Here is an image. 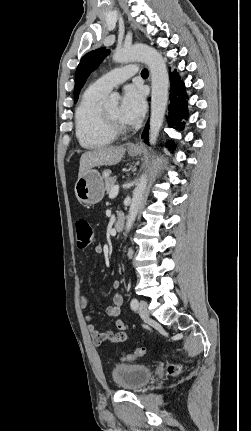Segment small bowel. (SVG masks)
Returning a JSON list of instances; mask_svg holds the SVG:
<instances>
[{
	"instance_id": "obj_1",
	"label": "small bowel",
	"mask_w": 251,
	"mask_h": 431,
	"mask_svg": "<svg viewBox=\"0 0 251 431\" xmlns=\"http://www.w3.org/2000/svg\"><path fill=\"white\" fill-rule=\"evenodd\" d=\"M95 252L100 254L102 253V246L97 245L95 247ZM84 281V275L80 276V283ZM120 287V282L118 280L113 281L112 288L114 290ZM88 299L84 294H80L79 297V305L82 309H86L88 307ZM123 304V297L120 294H114L110 299V304L106 306L105 312L111 318H117L121 313V307ZM87 323V329L91 336V339L95 346H100L101 344L108 342L111 344H119L123 343L128 339V325L124 321L117 319L115 321V326L117 331H107L102 332L98 330L94 325V318L91 315H87L85 317Z\"/></svg>"
}]
</instances>
